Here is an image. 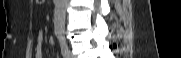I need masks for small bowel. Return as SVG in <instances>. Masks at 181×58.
<instances>
[{
  "label": "small bowel",
  "instance_id": "c3829d8e",
  "mask_svg": "<svg viewBox=\"0 0 181 58\" xmlns=\"http://www.w3.org/2000/svg\"><path fill=\"white\" fill-rule=\"evenodd\" d=\"M43 39H44V29L42 27L38 28L36 34V42L34 45L35 57L43 58ZM55 42L54 38L49 39V43L53 45Z\"/></svg>",
  "mask_w": 181,
  "mask_h": 58
}]
</instances>
